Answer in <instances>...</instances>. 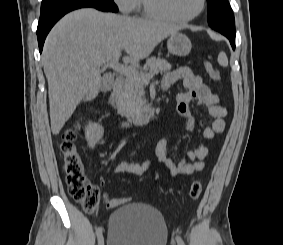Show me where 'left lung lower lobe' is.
<instances>
[{
    "label": "left lung lower lobe",
    "instance_id": "left-lung-lower-lobe-1",
    "mask_svg": "<svg viewBox=\"0 0 283 245\" xmlns=\"http://www.w3.org/2000/svg\"><path fill=\"white\" fill-rule=\"evenodd\" d=\"M222 34L225 35L229 39L232 48L235 49V35L225 34V33H222Z\"/></svg>",
    "mask_w": 283,
    "mask_h": 245
}]
</instances>
